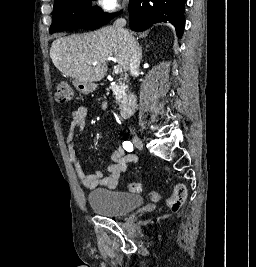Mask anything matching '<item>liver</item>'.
I'll use <instances>...</instances> for the list:
<instances>
[{
  "mask_svg": "<svg viewBox=\"0 0 256 267\" xmlns=\"http://www.w3.org/2000/svg\"><path fill=\"white\" fill-rule=\"evenodd\" d=\"M131 36V34H130ZM134 40L133 36H131ZM114 56L118 66L128 72L129 42L113 26L97 32L72 34L54 40L50 58L59 72L79 82H100L107 74V62Z\"/></svg>",
  "mask_w": 256,
  "mask_h": 267,
  "instance_id": "obj_1",
  "label": "liver"
}]
</instances>
